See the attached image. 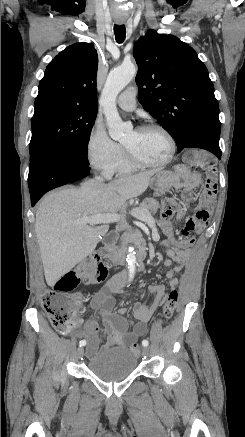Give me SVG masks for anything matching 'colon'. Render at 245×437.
Masks as SVG:
<instances>
[{
  "label": "colon",
  "instance_id": "1",
  "mask_svg": "<svg viewBox=\"0 0 245 437\" xmlns=\"http://www.w3.org/2000/svg\"><path fill=\"white\" fill-rule=\"evenodd\" d=\"M177 209L174 199L167 198L162 207V217L169 219ZM107 277V268L99 255L94 254L80 262L75 268L60 277L52 290L42 296V305L54 328L61 333H68L73 325L77 298L74 291L80 285H94L103 282ZM178 304V293L173 290L168 294L162 311V318L169 320L175 313ZM130 350L136 356L141 348L133 343Z\"/></svg>",
  "mask_w": 245,
  "mask_h": 437
}]
</instances>
